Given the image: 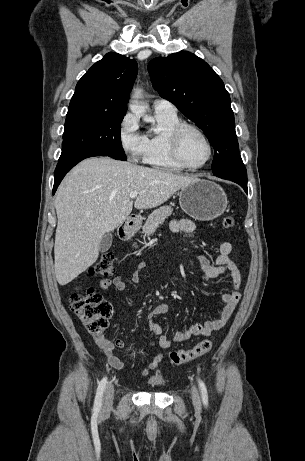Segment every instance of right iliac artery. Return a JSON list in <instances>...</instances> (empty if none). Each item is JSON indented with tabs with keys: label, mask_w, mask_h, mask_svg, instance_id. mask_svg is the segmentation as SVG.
<instances>
[{
	"label": "right iliac artery",
	"mask_w": 305,
	"mask_h": 461,
	"mask_svg": "<svg viewBox=\"0 0 305 461\" xmlns=\"http://www.w3.org/2000/svg\"><path fill=\"white\" fill-rule=\"evenodd\" d=\"M106 383H107V377H104L100 381V383L98 385L96 396H95V401H94V406H93V413L94 414H98L99 411H100L101 404H102L103 392H104Z\"/></svg>",
	"instance_id": "obj_1"
}]
</instances>
